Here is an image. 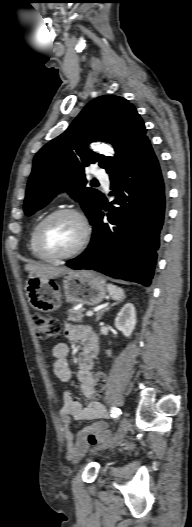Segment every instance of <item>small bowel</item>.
I'll list each match as a JSON object with an SVG mask.
<instances>
[{
  "mask_svg": "<svg viewBox=\"0 0 192 527\" xmlns=\"http://www.w3.org/2000/svg\"><path fill=\"white\" fill-rule=\"evenodd\" d=\"M65 335L68 340L83 344V350L78 357L77 379L82 393L89 400L83 406L74 398L71 391H66L60 409L67 458L74 461L86 451L89 445L95 444L98 437H104L106 423L103 420L107 417V411L97 400L98 390L91 372L94 358L98 352L96 334L88 326L67 324ZM68 353L69 347L66 343H58L52 349L54 374L64 383L69 382L72 378V372L67 362ZM72 420H94V422L79 432L76 441H74V435L70 430Z\"/></svg>",
  "mask_w": 192,
  "mask_h": 527,
  "instance_id": "c3829d8e",
  "label": "small bowel"
}]
</instances>
